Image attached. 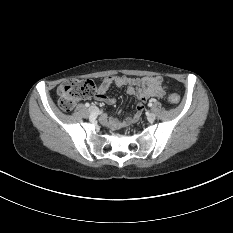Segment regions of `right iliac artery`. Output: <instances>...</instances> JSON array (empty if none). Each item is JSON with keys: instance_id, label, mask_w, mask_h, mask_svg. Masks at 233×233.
Returning a JSON list of instances; mask_svg holds the SVG:
<instances>
[{"instance_id": "obj_1", "label": "right iliac artery", "mask_w": 233, "mask_h": 233, "mask_svg": "<svg viewBox=\"0 0 233 233\" xmlns=\"http://www.w3.org/2000/svg\"><path fill=\"white\" fill-rule=\"evenodd\" d=\"M85 106H86V107H89V106H90V104H89V103H86V104H85Z\"/></svg>"}]
</instances>
